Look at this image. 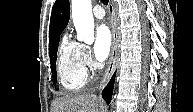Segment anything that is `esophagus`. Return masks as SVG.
I'll use <instances>...</instances> for the list:
<instances>
[{
  "mask_svg": "<svg viewBox=\"0 0 193 112\" xmlns=\"http://www.w3.org/2000/svg\"><path fill=\"white\" fill-rule=\"evenodd\" d=\"M108 11H109L110 21H111L112 46H111V52H110V56L108 60V65L105 70L103 79L101 81L100 89H103L109 82L115 70L116 62H117V55H118V30H117L115 6H114L113 0L109 1Z\"/></svg>",
  "mask_w": 193,
  "mask_h": 112,
  "instance_id": "esophagus-1",
  "label": "esophagus"
}]
</instances>
